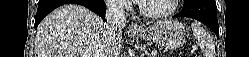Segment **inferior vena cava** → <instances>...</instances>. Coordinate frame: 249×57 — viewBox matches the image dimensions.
<instances>
[{
	"label": "inferior vena cava",
	"instance_id": "inferior-vena-cava-1",
	"mask_svg": "<svg viewBox=\"0 0 249 57\" xmlns=\"http://www.w3.org/2000/svg\"><path fill=\"white\" fill-rule=\"evenodd\" d=\"M106 20L108 34L110 36H115L127 22L124 8L115 1L108 2Z\"/></svg>",
	"mask_w": 249,
	"mask_h": 57
}]
</instances>
